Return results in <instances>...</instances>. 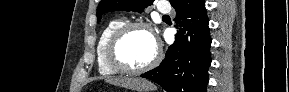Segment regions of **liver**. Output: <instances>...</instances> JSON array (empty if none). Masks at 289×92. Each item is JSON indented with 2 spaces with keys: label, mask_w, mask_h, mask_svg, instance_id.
Wrapping results in <instances>:
<instances>
[{
  "label": "liver",
  "mask_w": 289,
  "mask_h": 92,
  "mask_svg": "<svg viewBox=\"0 0 289 92\" xmlns=\"http://www.w3.org/2000/svg\"><path fill=\"white\" fill-rule=\"evenodd\" d=\"M110 84L120 85L137 91L152 89V84L146 80L134 78L107 79Z\"/></svg>",
  "instance_id": "1"
}]
</instances>
